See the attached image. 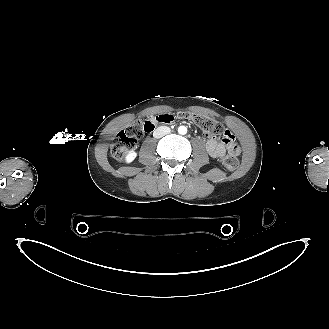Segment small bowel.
I'll list each match as a JSON object with an SVG mask.
<instances>
[{"instance_id": "1", "label": "small bowel", "mask_w": 329, "mask_h": 329, "mask_svg": "<svg viewBox=\"0 0 329 329\" xmlns=\"http://www.w3.org/2000/svg\"><path fill=\"white\" fill-rule=\"evenodd\" d=\"M155 120L159 124H162V123L173 124L176 122L177 117L173 113L162 112V113H159L156 115ZM206 149H207L208 154L211 157L220 159V160H223L228 155L236 156L239 153V148L237 146H233V147L228 146L226 148L223 144H221L211 138H209L207 141Z\"/></svg>"}]
</instances>
